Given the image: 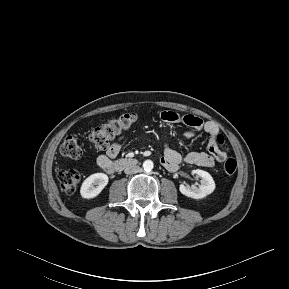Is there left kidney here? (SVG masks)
<instances>
[{
	"label": "left kidney",
	"instance_id": "1",
	"mask_svg": "<svg viewBox=\"0 0 289 289\" xmlns=\"http://www.w3.org/2000/svg\"><path fill=\"white\" fill-rule=\"evenodd\" d=\"M192 174H196L201 177V184L199 187L181 184L179 190L183 195L193 199H201L211 194L215 190V182L208 172L196 169L192 171Z\"/></svg>",
	"mask_w": 289,
	"mask_h": 289
}]
</instances>
